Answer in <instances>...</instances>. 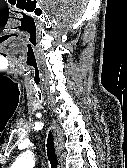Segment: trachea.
Returning a JSON list of instances; mask_svg holds the SVG:
<instances>
[{"label": "trachea", "mask_w": 127, "mask_h": 168, "mask_svg": "<svg viewBox=\"0 0 127 168\" xmlns=\"http://www.w3.org/2000/svg\"><path fill=\"white\" fill-rule=\"evenodd\" d=\"M46 147H47V156L51 164V168H57L58 161H57V157L55 153L53 136H52L51 131H49V134H48Z\"/></svg>", "instance_id": "obj_1"}]
</instances>
